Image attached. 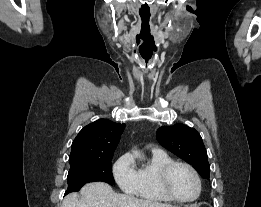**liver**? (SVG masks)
I'll use <instances>...</instances> for the list:
<instances>
[{"instance_id": "obj_1", "label": "liver", "mask_w": 261, "mask_h": 207, "mask_svg": "<svg viewBox=\"0 0 261 207\" xmlns=\"http://www.w3.org/2000/svg\"><path fill=\"white\" fill-rule=\"evenodd\" d=\"M62 207H171V205L119 194L107 183L92 182L81 189L80 197L77 193L67 195Z\"/></svg>"}]
</instances>
